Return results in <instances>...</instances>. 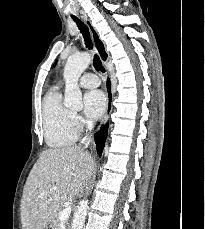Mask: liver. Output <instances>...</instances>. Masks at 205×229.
Returning a JSON list of instances; mask_svg holds the SVG:
<instances>
[{"label": "liver", "instance_id": "liver-1", "mask_svg": "<svg viewBox=\"0 0 205 229\" xmlns=\"http://www.w3.org/2000/svg\"><path fill=\"white\" fill-rule=\"evenodd\" d=\"M94 170L93 157L81 147L42 152L23 190V229H45L60 206L81 192Z\"/></svg>", "mask_w": 205, "mask_h": 229}]
</instances>
